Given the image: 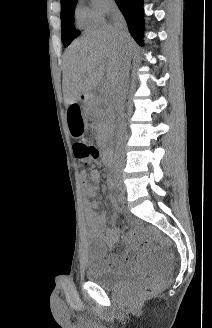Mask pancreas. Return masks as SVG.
I'll return each mask as SVG.
<instances>
[{
	"label": "pancreas",
	"instance_id": "pancreas-1",
	"mask_svg": "<svg viewBox=\"0 0 212 328\" xmlns=\"http://www.w3.org/2000/svg\"><path fill=\"white\" fill-rule=\"evenodd\" d=\"M102 102L103 100L101 98H97L92 109V114L97 120V131L99 140L107 138L111 132V119L105 111L99 108V105Z\"/></svg>",
	"mask_w": 212,
	"mask_h": 328
}]
</instances>
